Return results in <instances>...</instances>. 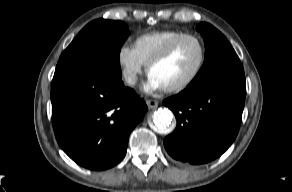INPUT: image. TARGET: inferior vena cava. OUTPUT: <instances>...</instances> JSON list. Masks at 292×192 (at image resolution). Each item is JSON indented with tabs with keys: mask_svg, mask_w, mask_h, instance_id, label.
Listing matches in <instances>:
<instances>
[{
	"mask_svg": "<svg viewBox=\"0 0 292 192\" xmlns=\"http://www.w3.org/2000/svg\"><path fill=\"white\" fill-rule=\"evenodd\" d=\"M137 81V77L135 75H131L126 78V82L130 85H134Z\"/></svg>",
	"mask_w": 292,
	"mask_h": 192,
	"instance_id": "inferior-vena-cava-1",
	"label": "inferior vena cava"
}]
</instances>
